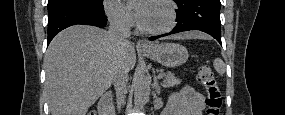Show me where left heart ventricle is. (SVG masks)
Masks as SVG:
<instances>
[{
  "instance_id": "1",
  "label": "left heart ventricle",
  "mask_w": 285,
  "mask_h": 115,
  "mask_svg": "<svg viewBox=\"0 0 285 115\" xmlns=\"http://www.w3.org/2000/svg\"><path fill=\"white\" fill-rule=\"evenodd\" d=\"M168 10L164 4L152 2L149 7L148 18L143 25L149 29H158L168 24Z\"/></svg>"
}]
</instances>
